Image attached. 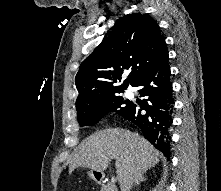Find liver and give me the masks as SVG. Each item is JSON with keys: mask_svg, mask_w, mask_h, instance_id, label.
Masks as SVG:
<instances>
[{"mask_svg": "<svg viewBox=\"0 0 221 191\" xmlns=\"http://www.w3.org/2000/svg\"><path fill=\"white\" fill-rule=\"evenodd\" d=\"M160 153L139 134L122 128H109L84 140L70 161L69 173L77 167L98 172L106 170L115 159L116 173L121 185L130 173L146 172L159 162Z\"/></svg>", "mask_w": 221, "mask_h": 191, "instance_id": "1", "label": "liver"}]
</instances>
